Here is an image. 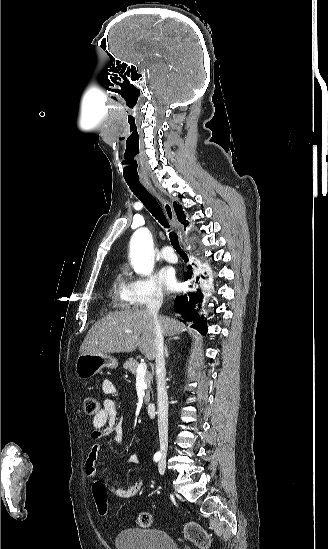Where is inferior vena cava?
I'll return each mask as SVG.
<instances>
[{"label":"inferior vena cava","mask_w":328,"mask_h":549,"mask_svg":"<svg viewBox=\"0 0 328 549\" xmlns=\"http://www.w3.org/2000/svg\"><path fill=\"white\" fill-rule=\"evenodd\" d=\"M162 299H151L146 303V311L148 315H152L154 319L155 333V367H156V383H157V403H158V431L160 441V451L162 455H166L168 449V395L166 389V369L164 359V337L162 329L159 325V311L162 307Z\"/></svg>","instance_id":"obj_1"}]
</instances>
